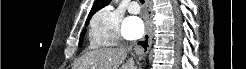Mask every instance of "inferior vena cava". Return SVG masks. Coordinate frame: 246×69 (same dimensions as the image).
<instances>
[{"mask_svg":"<svg viewBox=\"0 0 246 69\" xmlns=\"http://www.w3.org/2000/svg\"><path fill=\"white\" fill-rule=\"evenodd\" d=\"M122 49L126 50V51H131L132 50V46H121Z\"/></svg>","mask_w":246,"mask_h":69,"instance_id":"1","label":"inferior vena cava"}]
</instances>
